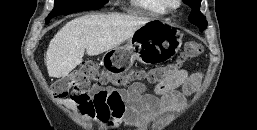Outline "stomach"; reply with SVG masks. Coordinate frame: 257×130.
<instances>
[{
    "label": "stomach",
    "instance_id": "1",
    "mask_svg": "<svg viewBox=\"0 0 257 130\" xmlns=\"http://www.w3.org/2000/svg\"><path fill=\"white\" fill-rule=\"evenodd\" d=\"M182 34L172 24L150 21L139 27L125 46L107 51L103 64L110 70H127L134 60L155 64L170 60L180 49Z\"/></svg>",
    "mask_w": 257,
    "mask_h": 130
}]
</instances>
